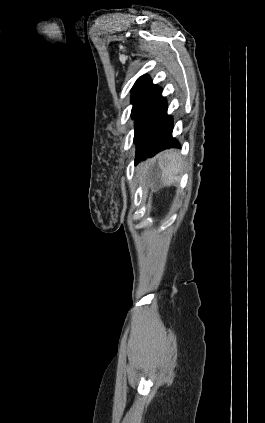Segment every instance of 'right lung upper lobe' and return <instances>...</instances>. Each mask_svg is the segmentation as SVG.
Segmentation results:
<instances>
[{
	"label": "right lung upper lobe",
	"instance_id": "cb5924a9",
	"mask_svg": "<svg viewBox=\"0 0 265 423\" xmlns=\"http://www.w3.org/2000/svg\"><path fill=\"white\" fill-rule=\"evenodd\" d=\"M157 89L147 75L141 76L134 84L131 92L132 97H148Z\"/></svg>",
	"mask_w": 265,
	"mask_h": 423
}]
</instances>
